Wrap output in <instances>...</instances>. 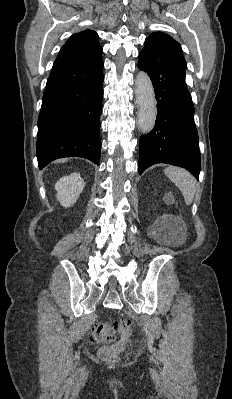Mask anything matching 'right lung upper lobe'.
<instances>
[{
    "instance_id": "right-lung-upper-lobe-1",
    "label": "right lung upper lobe",
    "mask_w": 232,
    "mask_h": 399,
    "mask_svg": "<svg viewBox=\"0 0 232 399\" xmlns=\"http://www.w3.org/2000/svg\"><path fill=\"white\" fill-rule=\"evenodd\" d=\"M102 53L98 35L93 30H84L72 35L61 48L57 58L85 57Z\"/></svg>"
}]
</instances>
